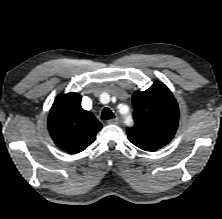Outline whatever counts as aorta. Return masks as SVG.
Masks as SVG:
<instances>
[{
  "instance_id": "1",
  "label": "aorta",
  "mask_w": 222,
  "mask_h": 219,
  "mask_svg": "<svg viewBox=\"0 0 222 219\" xmlns=\"http://www.w3.org/2000/svg\"><path fill=\"white\" fill-rule=\"evenodd\" d=\"M132 122H133L132 117L128 115V116L125 118V123L128 124V125H131Z\"/></svg>"
}]
</instances>
